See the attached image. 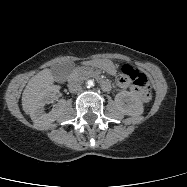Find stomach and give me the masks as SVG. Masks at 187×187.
Segmentation results:
<instances>
[{"label":"stomach","instance_id":"1","mask_svg":"<svg viewBox=\"0 0 187 187\" xmlns=\"http://www.w3.org/2000/svg\"><path fill=\"white\" fill-rule=\"evenodd\" d=\"M90 64L96 68L106 71L110 74H115L116 67L113 62L109 59L97 58L90 62Z\"/></svg>","mask_w":187,"mask_h":187}]
</instances>
